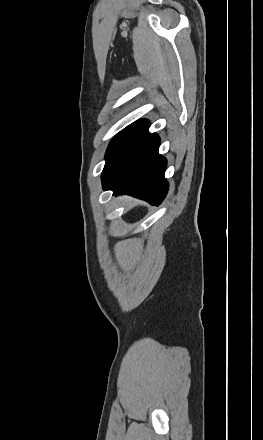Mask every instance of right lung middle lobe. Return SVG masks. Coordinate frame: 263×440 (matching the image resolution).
<instances>
[{"instance_id":"obj_1","label":"right lung middle lobe","mask_w":263,"mask_h":440,"mask_svg":"<svg viewBox=\"0 0 263 440\" xmlns=\"http://www.w3.org/2000/svg\"><path fill=\"white\" fill-rule=\"evenodd\" d=\"M148 128L149 122L147 120H139L123 129L112 139L105 156L106 163L102 172V180L112 174L148 132Z\"/></svg>"}]
</instances>
